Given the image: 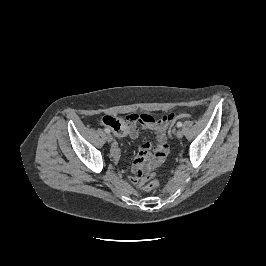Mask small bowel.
Wrapping results in <instances>:
<instances>
[{
	"label": "small bowel",
	"mask_w": 266,
	"mask_h": 266,
	"mask_svg": "<svg viewBox=\"0 0 266 266\" xmlns=\"http://www.w3.org/2000/svg\"><path fill=\"white\" fill-rule=\"evenodd\" d=\"M176 118L177 115L172 112L160 118L147 114H130L122 118L105 116L102 119L103 124L110 127L117 136L129 135L133 139L137 138V123L154 130L156 134L157 143L155 146L148 142L139 146L138 154L132 165V172L134 173L130 177L132 182L137 183L144 172L154 169L164 161L169 151L166 130ZM113 154L115 157L119 155L117 146L113 147Z\"/></svg>",
	"instance_id": "small-bowel-1"
}]
</instances>
